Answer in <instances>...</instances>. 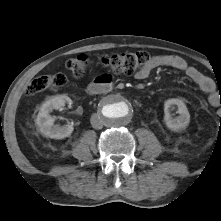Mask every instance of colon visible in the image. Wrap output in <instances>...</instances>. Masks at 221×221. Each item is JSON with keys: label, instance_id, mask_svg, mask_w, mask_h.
Masks as SVG:
<instances>
[{"label": "colon", "instance_id": "colon-1", "mask_svg": "<svg viewBox=\"0 0 221 221\" xmlns=\"http://www.w3.org/2000/svg\"><path fill=\"white\" fill-rule=\"evenodd\" d=\"M151 56L148 52H126L119 54H104L100 57V63L106 69L120 74H133L140 70ZM90 60L86 54H79L66 62L67 69L78 78L84 77L89 69ZM67 77L63 73H54L35 77L26 89L28 95H35L45 90L58 89L65 86ZM221 124V114L219 115Z\"/></svg>", "mask_w": 221, "mask_h": 221}]
</instances>
